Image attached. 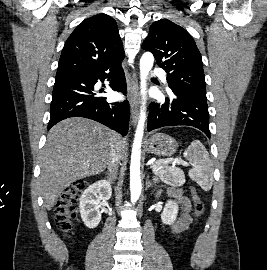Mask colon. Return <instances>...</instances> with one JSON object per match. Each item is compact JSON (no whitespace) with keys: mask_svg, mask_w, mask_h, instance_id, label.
Here are the masks:
<instances>
[{"mask_svg":"<svg viewBox=\"0 0 267 270\" xmlns=\"http://www.w3.org/2000/svg\"><path fill=\"white\" fill-rule=\"evenodd\" d=\"M87 182L76 181L68 186L56 202L54 218L58 229L66 236L73 233V224L76 219V204L81 192L85 189ZM190 196L197 217L202 216L205 211V204L195 187L190 188Z\"/></svg>","mask_w":267,"mask_h":270,"instance_id":"5ec220e1","label":"colon"}]
</instances>
